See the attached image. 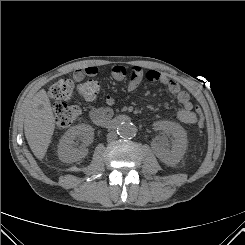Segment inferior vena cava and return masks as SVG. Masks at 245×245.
<instances>
[{
	"label": "inferior vena cava",
	"mask_w": 245,
	"mask_h": 245,
	"mask_svg": "<svg viewBox=\"0 0 245 245\" xmlns=\"http://www.w3.org/2000/svg\"><path fill=\"white\" fill-rule=\"evenodd\" d=\"M116 138H117V134L114 131L109 132L108 135H107V140L108 141H113Z\"/></svg>",
	"instance_id": "602c4592"
}]
</instances>
